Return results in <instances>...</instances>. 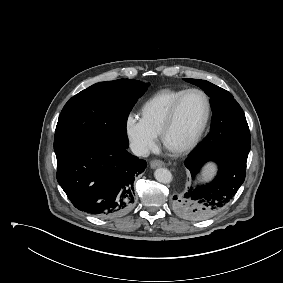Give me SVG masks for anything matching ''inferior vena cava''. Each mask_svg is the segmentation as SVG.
I'll return each instance as SVG.
<instances>
[{
    "label": "inferior vena cava",
    "instance_id": "inferior-vena-cava-1",
    "mask_svg": "<svg viewBox=\"0 0 283 283\" xmlns=\"http://www.w3.org/2000/svg\"><path fill=\"white\" fill-rule=\"evenodd\" d=\"M130 149L136 156H145L149 153L148 148L139 143H131Z\"/></svg>",
    "mask_w": 283,
    "mask_h": 283
}]
</instances>
